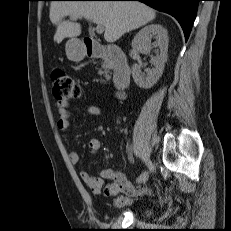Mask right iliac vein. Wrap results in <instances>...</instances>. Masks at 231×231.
<instances>
[{
    "label": "right iliac vein",
    "mask_w": 231,
    "mask_h": 231,
    "mask_svg": "<svg viewBox=\"0 0 231 231\" xmlns=\"http://www.w3.org/2000/svg\"><path fill=\"white\" fill-rule=\"evenodd\" d=\"M146 165L148 166V168H149V170H150V172H154V170H155V167H154V165H153V163L149 160V159H147V161H146Z\"/></svg>",
    "instance_id": "right-iliac-vein-1"
}]
</instances>
